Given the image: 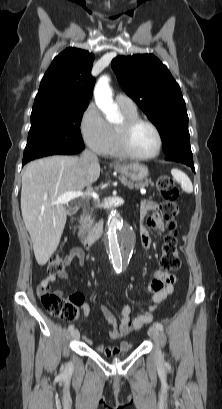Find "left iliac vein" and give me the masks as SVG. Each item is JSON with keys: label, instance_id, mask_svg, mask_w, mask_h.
<instances>
[{"label": "left iliac vein", "instance_id": "left-iliac-vein-1", "mask_svg": "<svg viewBox=\"0 0 222 409\" xmlns=\"http://www.w3.org/2000/svg\"><path fill=\"white\" fill-rule=\"evenodd\" d=\"M148 334L149 336L156 341L157 343V353H160V349H159V330L158 328H156L155 326H151L148 330Z\"/></svg>", "mask_w": 222, "mask_h": 409}]
</instances>
